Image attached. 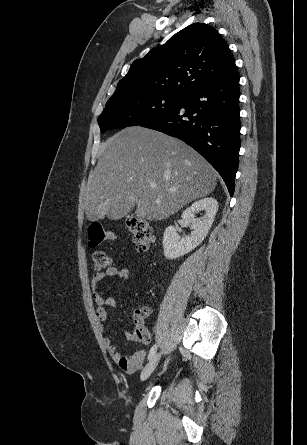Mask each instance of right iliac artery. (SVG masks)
I'll return each mask as SVG.
<instances>
[{
  "label": "right iliac artery",
  "mask_w": 307,
  "mask_h": 445,
  "mask_svg": "<svg viewBox=\"0 0 307 445\" xmlns=\"http://www.w3.org/2000/svg\"><path fill=\"white\" fill-rule=\"evenodd\" d=\"M157 346L153 345L148 354V360H150L156 353Z\"/></svg>",
  "instance_id": "1"
}]
</instances>
